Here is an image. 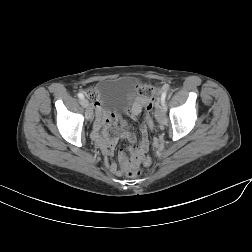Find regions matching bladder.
I'll use <instances>...</instances> for the list:
<instances>
[{"label": "bladder", "instance_id": "bladder-1", "mask_svg": "<svg viewBox=\"0 0 252 252\" xmlns=\"http://www.w3.org/2000/svg\"><path fill=\"white\" fill-rule=\"evenodd\" d=\"M101 87H104L102 103L105 106L113 102L129 103L133 98L140 95L136 81L132 77L104 80L100 83V89Z\"/></svg>", "mask_w": 252, "mask_h": 252}]
</instances>
